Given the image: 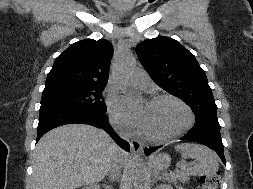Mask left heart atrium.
I'll return each mask as SVG.
<instances>
[{"label": "left heart atrium", "instance_id": "obj_1", "mask_svg": "<svg viewBox=\"0 0 253 189\" xmlns=\"http://www.w3.org/2000/svg\"><path fill=\"white\" fill-rule=\"evenodd\" d=\"M118 115L127 125L143 128L146 120V106L137 112H120Z\"/></svg>", "mask_w": 253, "mask_h": 189}]
</instances>
